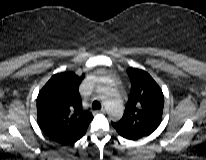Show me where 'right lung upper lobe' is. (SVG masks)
Listing matches in <instances>:
<instances>
[{"label": "right lung upper lobe", "instance_id": "obj_1", "mask_svg": "<svg viewBox=\"0 0 206 160\" xmlns=\"http://www.w3.org/2000/svg\"><path fill=\"white\" fill-rule=\"evenodd\" d=\"M81 79L72 72L53 75L37 97V120L42 131L63 145L72 144L86 132L93 116L82 108Z\"/></svg>", "mask_w": 206, "mask_h": 160}]
</instances>
